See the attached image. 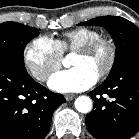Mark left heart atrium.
Wrapping results in <instances>:
<instances>
[{
    "instance_id": "obj_1",
    "label": "left heart atrium",
    "mask_w": 139,
    "mask_h": 139,
    "mask_svg": "<svg viewBox=\"0 0 139 139\" xmlns=\"http://www.w3.org/2000/svg\"><path fill=\"white\" fill-rule=\"evenodd\" d=\"M98 75L83 66H74L71 69L53 74L48 82L51 89L61 92H79L93 86Z\"/></svg>"
}]
</instances>
